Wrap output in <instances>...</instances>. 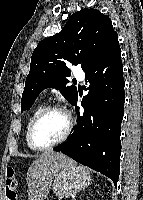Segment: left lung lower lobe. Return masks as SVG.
Segmentation results:
<instances>
[{"instance_id": "left-lung-lower-lobe-1", "label": "left lung lower lobe", "mask_w": 143, "mask_h": 200, "mask_svg": "<svg viewBox=\"0 0 143 200\" xmlns=\"http://www.w3.org/2000/svg\"><path fill=\"white\" fill-rule=\"evenodd\" d=\"M88 94L84 110L76 106L77 125L67 141L54 148L75 161L109 177L117 184L120 174L121 122L124 115L125 82L118 36L85 71Z\"/></svg>"}]
</instances>
